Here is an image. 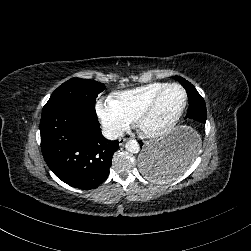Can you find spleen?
I'll list each match as a JSON object with an SVG mask.
<instances>
[{
    "label": "spleen",
    "mask_w": 251,
    "mask_h": 251,
    "mask_svg": "<svg viewBox=\"0 0 251 251\" xmlns=\"http://www.w3.org/2000/svg\"><path fill=\"white\" fill-rule=\"evenodd\" d=\"M201 146V138L196 141L193 151H190L186 153L184 157L181 158V163L182 166L181 168H176V169H169L164 167V169H157L154 168L148 172V177L154 178V181H169L173 178H177L183 174L184 171H186L187 167L192 163L193 161V156L195 153H197L200 149Z\"/></svg>",
    "instance_id": "obj_1"
}]
</instances>
